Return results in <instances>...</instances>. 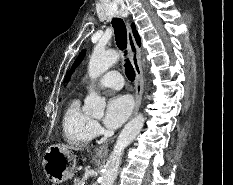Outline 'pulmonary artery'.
<instances>
[{
    "mask_svg": "<svg viewBox=\"0 0 233 185\" xmlns=\"http://www.w3.org/2000/svg\"><path fill=\"white\" fill-rule=\"evenodd\" d=\"M123 85V78L118 71H108L103 74L99 80L95 83L89 85V89L93 87H100V88H113V89H120Z\"/></svg>",
    "mask_w": 233,
    "mask_h": 185,
    "instance_id": "obj_1",
    "label": "pulmonary artery"
}]
</instances>
